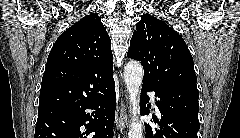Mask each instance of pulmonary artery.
<instances>
[{
	"mask_svg": "<svg viewBox=\"0 0 240 138\" xmlns=\"http://www.w3.org/2000/svg\"><path fill=\"white\" fill-rule=\"evenodd\" d=\"M149 96H150V98H151V100H152V102H153L155 108H157L155 93H154V92H150V93H149Z\"/></svg>",
	"mask_w": 240,
	"mask_h": 138,
	"instance_id": "pulmonary-artery-1",
	"label": "pulmonary artery"
}]
</instances>
